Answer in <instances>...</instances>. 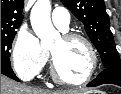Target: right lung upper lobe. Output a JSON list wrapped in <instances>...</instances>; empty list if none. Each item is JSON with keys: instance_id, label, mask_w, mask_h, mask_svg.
Segmentation results:
<instances>
[{"instance_id": "1", "label": "right lung upper lobe", "mask_w": 121, "mask_h": 94, "mask_svg": "<svg viewBox=\"0 0 121 94\" xmlns=\"http://www.w3.org/2000/svg\"><path fill=\"white\" fill-rule=\"evenodd\" d=\"M24 0H1V33L14 32L22 22Z\"/></svg>"}]
</instances>
